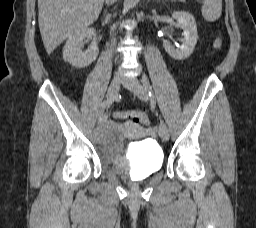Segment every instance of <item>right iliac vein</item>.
Masks as SVG:
<instances>
[{"label": "right iliac vein", "mask_w": 256, "mask_h": 228, "mask_svg": "<svg viewBox=\"0 0 256 228\" xmlns=\"http://www.w3.org/2000/svg\"><path fill=\"white\" fill-rule=\"evenodd\" d=\"M122 83H123L122 76L117 75L113 78L107 92L108 104H111L114 101V99L117 97ZM106 120H107V117L105 115H103L100 119H98V122H97L98 129H101L104 127Z\"/></svg>", "instance_id": "obj_1"}]
</instances>
